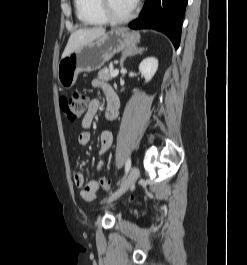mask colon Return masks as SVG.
Listing matches in <instances>:
<instances>
[{
  "instance_id": "5ec220e1",
  "label": "colon",
  "mask_w": 247,
  "mask_h": 265,
  "mask_svg": "<svg viewBox=\"0 0 247 265\" xmlns=\"http://www.w3.org/2000/svg\"><path fill=\"white\" fill-rule=\"evenodd\" d=\"M59 104L67 118L70 121H76L84 115L87 109V98L83 93L75 91L69 96L61 97ZM99 184L108 192L112 189L111 180L106 177H100Z\"/></svg>"
}]
</instances>
